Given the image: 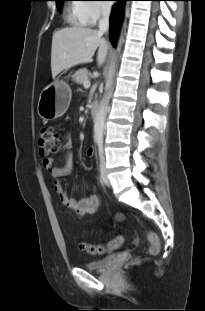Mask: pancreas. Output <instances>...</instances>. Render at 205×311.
I'll list each match as a JSON object with an SVG mask.
<instances>
[{"mask_svg": "<svg viewBox=\"0 0 205 311\" xmlns=\"http://www.w3.org/2000/svg\"><path fill=\"white\" fill-rule=\"evenodd\" d=\"M90 73L87 69H79L76 73L72 76L73 81L78 84H84L85 80H89Z\"/></svg>", "mask_w": 205, "mask_h": 311, "instance_id": "1", "label": "pancreas"}]
</instances>
